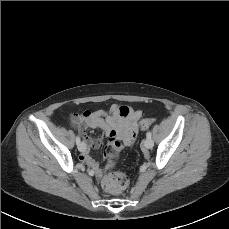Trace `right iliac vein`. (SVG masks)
Masks as SVG:
<instances>
[{
    "label": "right iliac vein",
    "instance_id": "obj_1",
    "mask_svg": "<svg viewBox=\"0 0 229 229\" xmlns=\"http://www.w3.org/2000/svg\"><path fill=\"white\" fill-rule=\"evenodd\" d=\"M85 147V144L83 142H81L79 145H78V150L79 151H82Z\"/></svg>",
    "mask_w": 229,
    "mask_h": 229
}]
</instances>
